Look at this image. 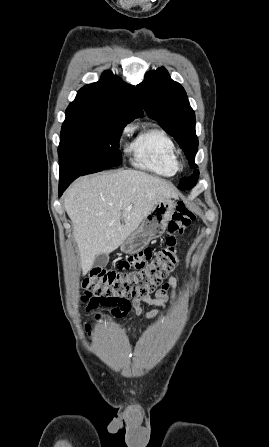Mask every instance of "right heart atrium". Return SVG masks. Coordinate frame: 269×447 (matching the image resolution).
Instances as JSON below:
<instances>
[{
	"mask_svg": "<svg viewBox=\"0 0 269 447\" xmlns=\"http://www.w3.org/2000/svg\"><path fill=\"white\" fill-rule=\"evenodd\" d=\"M126 131H127V128L123 129V132H122V134H125V133H126Z\"/></svg>",
	"mask_w": 269,
	"mask_h": 447,
	"instance_id": "obj_1",
	"label": "right heart atrium"
}]
</instances>
